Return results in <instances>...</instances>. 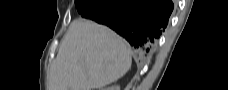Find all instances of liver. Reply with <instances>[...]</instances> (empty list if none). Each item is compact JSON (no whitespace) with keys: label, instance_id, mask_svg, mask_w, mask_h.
I'll use <instances>...</instances> for the list:
<instances>
[{"label":"liver","instance_id":"liver-1","mask_svg":"<svg viewBox=\"0 0 228 90\" xmlns=\"http://www.w3.org/2000/svg\"><path fill=\"white\" fill-rule=\"evenodd\" d=\"M130 50L110 29L76 19L50 68L48 90H98L131 68Z\"/></svg>","mask_w":228,"mask_h":90}]
</instances>
